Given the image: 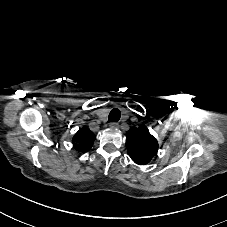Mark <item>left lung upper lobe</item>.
<instances>
[{"mask_svg": "<svg viewBox=\"0 0 227 227\" xmlns=\"http://www.w3.org/2000/svg\"><path fill=\"white\" fill-rule=\"evenodd\" d=\"M126 137L127 153L136 164H147L157 155L158 142L146 126L132 127Z\"/></svg>", "mask_w": 227, "mask_h": 227, "instance_id": "left-lung-upper-lobe-1", "label": "left lung upper lobe"}]
</instances>
